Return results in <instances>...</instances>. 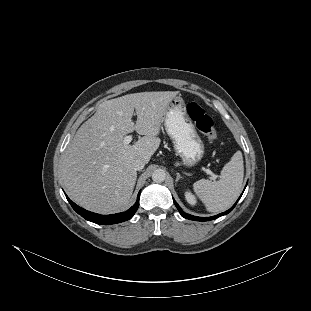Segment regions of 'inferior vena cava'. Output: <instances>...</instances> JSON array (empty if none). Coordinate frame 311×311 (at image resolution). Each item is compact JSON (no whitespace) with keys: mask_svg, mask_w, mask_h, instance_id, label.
I'll use <instances>...</instances> for the list:
<instances>
[{"mask_svg":"<svg viewBox=\"0 0 311 311\" xmlns=\"http://www.w3.org/2000/svg\"><path fill=\"white\" fill-rule=\"evenodd\" d=\"M132 165L136 171H139V170H142L144 168L145 162L142 158L138 157V158L134 159Z\"/></svg>","mask_w":311,"mask_h":311,"instance_id":"inferior-vena-cava-1","label":"inferior vena cava"}]
</instances>
